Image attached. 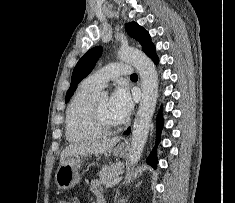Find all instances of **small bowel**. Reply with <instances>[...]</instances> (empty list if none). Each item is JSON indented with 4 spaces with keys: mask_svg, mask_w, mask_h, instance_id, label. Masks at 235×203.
I'll use <instances>...</instances> for the list:
<instances>
[{
    "mask_svg": "<svg viewBox=\"0 0 235 203\" xmlns=\"http://www.w3.org/2000/svg\"><path fill=\"white\" fill-rule=\"evenodd\" d=\"M91 189H92L96 194L99 195L100 200L103 199L102 192H101V189H100V186H99L98 182L93 181V182L91 183Z\"/></svg>",
    "mask_w": 235,
    "mask_h": 203,
    "instance_id": "obj_1",
    "label": "small bowel"
}]
</instances>
